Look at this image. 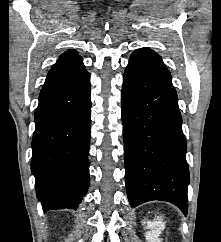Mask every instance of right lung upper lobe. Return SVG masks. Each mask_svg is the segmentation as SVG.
Returning <instances> with one entry per match:
<instances>
[{
    "label": "right lung upper lobe",
    "mask_w": 221,
    "mask_h": 242,
    "mask_svg": "<svg viewBox=\"0 0 221 242\" xmlns=\"http://www.w3.org/2000/svg\"><path fill=\"white\" fill-rule=\"evenodd\" d=\"M85 70L82 57L75 50H70L62 54L57 62L50 69L45 83L47 86L59 81H63Z\"/></svg>",
    "instance_id": "right-lung-upper-lobe-1"
}]
</instances>
